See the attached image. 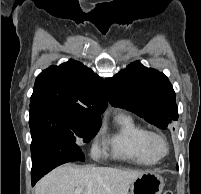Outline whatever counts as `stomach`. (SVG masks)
I'll return each mask as SVG.
<instances>
[{
	"label": "stomach",
	"mask_w": 201,
	"mask_h": 194,
	"mask_svg": "<svg viewBox=\"0 0 201 194\" xmlns=\"http://www.w3.org/2000/svg\"><path fill=\"white\" fill-rule=\"evenodd\" d=\"M163 178L153 172H144L131 183L130 194H162Z\"/></svg>",
	"instance_id": "0dacf381"
}]
</instances>
